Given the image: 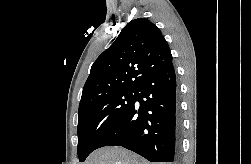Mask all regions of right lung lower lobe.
Segmentation results:
<instances>
[{
	"label": "right lung lower lobe",
	"instance_id": "obj_1",
	"mask_svg": "<svg viewBox=\"0 0 251 164\" xmlns=\"http://www.w3.org/2000/svg\"><path fill=\"white\" fill-rule=\"evenodd\" d=\"M140 108L135 107V102ZM134 105L104 136L97 149L122 146L150 162L177 163L181 124L176 103L173 64L145 78L137 88Z\"/></svg>",
	"mask_w": 251,
	"mask_h": 164
}]
</instances>
